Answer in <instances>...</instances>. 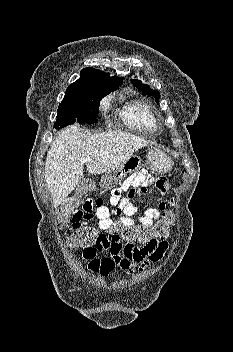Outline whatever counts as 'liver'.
Returning a JSON list of instances; mask_svg holds the SVG:
<instances>
[{
    "label": "liver",
    "mask_w": 233,
    "mask_h": 352,
    "mask_svg": "<svg viewBox=\"0 0 233 352\" xmlns=\"http://www.w3.org/2000/svg\"><path fill=\"white\" fill-rule=\"evenodd\" d=\"M148 144L123 131L83 132L77 124L66 128L51 144L45 163V183L54 206L61 205L81 182L86 157L92 159L87 164L89 174L108 173Z\"/></svg>",
    "instance_id": "6515ba94"
}]
</instances>
